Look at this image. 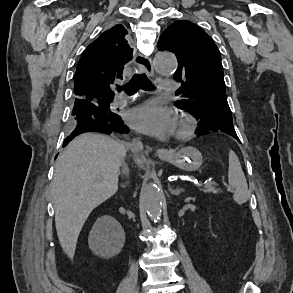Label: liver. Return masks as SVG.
Returning <instances> with one entry per match:
<instances>
[{
  "label": "liver",
  "mask_w": 293,
  "mask_h": 293,
  "mask_svg": "<svg viewBox=\"0 0 293 293\" xmlns=\"http://www.w3.org/2000/svg\"><path fill=\"white\" fill-rule=\"evenodd\" d=\"M125 156L123 144L93 133L79 135L61 154L51 193L58 239L70 258L92 210L117 192ZM135 161L141 166L139 159Z\"/></svg>",
  "instance_id": "liver-1"
}]
</instances>
